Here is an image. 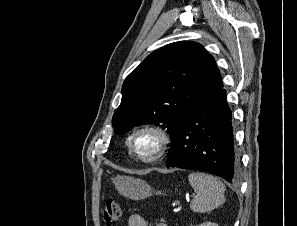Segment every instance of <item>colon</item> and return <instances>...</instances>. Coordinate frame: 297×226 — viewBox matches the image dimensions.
Masks as SVG:
<instances>
[{
    "instance_id": "obj_1",
    "label": "colon",
    "mask_w": 297,
    "mask_h": 226,
    "mask_svg": "<svg viewBox=\"0 0 297 226\" xmlns=\"http://www.w3.org/2000/svg\"><path fill=\"white\" fill-rule=\"evenodd\" d=\"M121 217L120 206L115 200L109 199L105 203L103 219L108 226L119 221Z\"/></svg>"
}]
</instances>
